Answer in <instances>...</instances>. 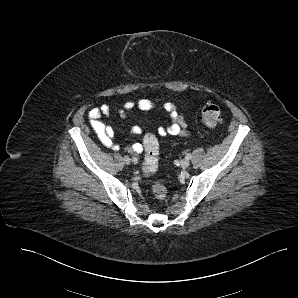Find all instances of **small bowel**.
<instances>
[{"mask_svg":"<svg viewBox=\"0 0 298 298\" xmlns=\"http://www.w3.org/2000/svg\"><path fill=\"white\" fill-rule=\"evenodd\" d=\"M154 107V104L149 99H140L138 101L126 102L121 110L120 115L124 116L126 112L138 109L141 111H148ZM163 109L169 114L171 123L168 126H160L157 129V133L160 137L166 136H186L188 135L187 124L184 114L178 111L177 107L171 102H165ZM111 109L109 105L102 104L98 107H94L89 111V123L93 131L98 136L101 143L112 150H119V145L114 142V130L112 127L105 125L101 118L102 116L109 115ZM130 132L134 135L142 133V128L139 125H134ZM129 152L139 154L142 152L143 147L140 143H134L128 148Z\"/></svg>","mask_w":298,"mask_h":298,"instance_id":"1","label":"small bowel"}]
</instances>
